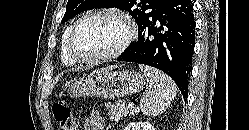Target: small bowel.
<instances>
[{
    "instance_id": "1",
    "label": "small bowel",
    "mask_w": 249,
    "mask_h": 130,
    "mask_svg": "<svg viewBox=\"0 0 249 130\" xmlns=\"http://www.w3.org/2000/svg\"><path fill=\"white\" fill-rule=\"evenodd\" d=\"M84 130H104L105 122L99 111L93 110L84 122Z\"/></svg>"
}]
</instances>
